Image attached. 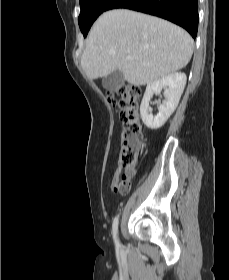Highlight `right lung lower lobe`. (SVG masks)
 <instances>
[{
  "label": "right lung lower lobe",
  "instance_id": "obj_1",
  "mask_svg": "<svg viewBox=\"0 0 229 280\" xmlns=\"http://www.w3.org/2000/svg\"><path fill=\"white\" fill-rule=\"evenodd\" d=\"M116 8H127L164 18L186 29L193 38L197 35V0H113L107 10Z\"/></svg>",
  "mask_w": 229,
  "mask_h": 280
}]
</instances>
